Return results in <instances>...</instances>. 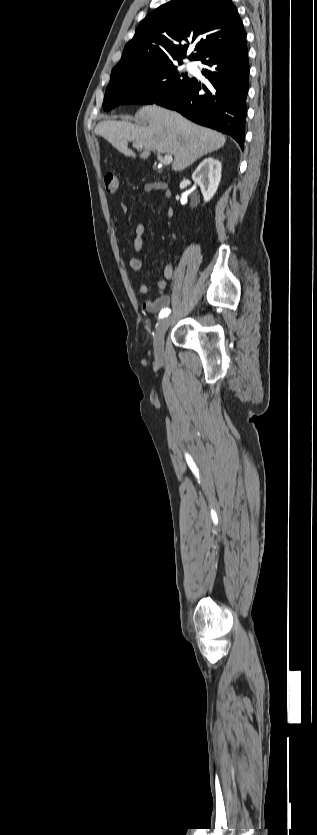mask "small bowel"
<instances>
[{"label": "small bowel", "instance_id": "1", "mask_svg": "<svg viewBox=\"0 0 317 835\" xmlns=\"http://www.w3.org/2000/svg\"><path fill=\"white\" fill-rule=\"evenodd\" d=\"M156 187L153 184H148L145 187V190L151 192ZM121 208L124 212L127 210V206L122 204ZM167 215L170 217L173 215L172 209L167 210ZM145 233V225L143 223L137 224L135 228V238L133 242L134 250L136 253L140 252L143 247V235ZM129 268L138 273L141 269V261L137 257H131L128 262ZM174 275V267L172 263L166 264L163 270V277L157 282V296L153 299H148L143 302V308L150 312V313H157L161 311L163 308L167 307L170 304V296L165 292L168 283L171 281ZM138 289L141 294H146L148 292V286L144 282L138 283Z\"/></svg>", "mask_w": 317, "mask_h": 835}]
</instances>
